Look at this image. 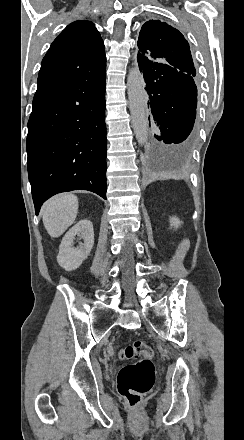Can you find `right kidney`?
Returning <instances> with one entry per match:
<instances>
[{"mask_svg":"<svg viewBox=\"0 0 244 440\" xmlns=\"http://www.w3.org/2000/svg\"><path fill=\"white\" fill-rule=\"evenodd\" d=\"M75 236L82 238L84 244L74 248ZM94 244V232L90 220H80L67 234H65L60 246L57 262L61 268L70 272L81 266L83 260L88 258Z\"/></svg>","mask_w":244,"mask_h":440,"instance_id":"1","label":"right kidney"}]
</instances>
